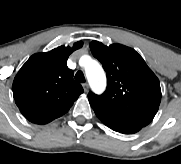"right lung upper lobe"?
<instances>
[{"mask_svg": "<svg viewBox=\"0 0 181 164\" xmlns=\"http://www.w3.org/2000/svg\"><path fill=\"white\" fill-rule=\"evenodd\" d=\"M60 46L32 55L17 73L12 90L16 105L32 123L46 124L65 114L83 93L67 65L69 55L81 48Z\"/></svg>", "mask_w": 181, "mask_h": 164, "instance_id": "cb5924a9", "label": "right lung upper lobe"}]
</instances>
